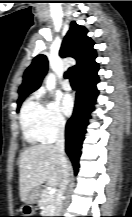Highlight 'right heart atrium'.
Wrapping results in <instances>:
<instances>
[{"instance_id":"1","label":"right heart atrium","mask_w":132,"mask_h":217,"mask_svg":"<svg viewBox=\"0 0 132 217\" xmlns=\"http://www.w3.org/2000/svg\"><path fill=\"white\" fill-rule=\"evenodd\" d=\"M66 125L57 103L47 101L43 105L42 132L46 141H52L64 132Z\"/></svg>"}]
</instances>
